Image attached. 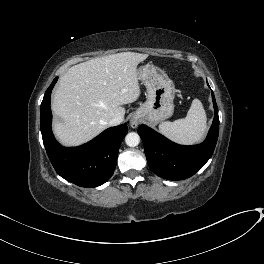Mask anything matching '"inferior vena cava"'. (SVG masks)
Here are the masks:
<instances>
[{
    "mask_svg": "<svg viewBox=\"0 0 264 264\" xmlns=\"http://www.w3.org/2000/svg\"><path fill=\"white\" fill-rule=\"evenodd\" d=\"M123 121V118L120 117V116H116L114 118H112L109 122H108V125L109 126H117L119 124H121Z\"/></svg>",
    "mask_w": 264,
    "mask_h": 264,
    "instance_id": "1",
    "label": "inferior vena cava"
}]
</instances>
